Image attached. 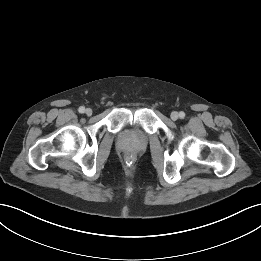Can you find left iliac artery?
<instances>
[{
    "label": "left iliac artery",
    "mask_w": 261,
    "mask_h": 261,
    "mask_svg": "<svg viewBox=\"0 0 261 261\" xmlns=\"http://www.w3.org/2000/svg\"><path fill=\"white\" fill-rule=\"evenodd\" d=\"M179 117H180L181 119H183V118L185 117V113H184L183 111H181V112L179 113Z\"/></svg>",
    "instance_id": "obj_1"
}]
</instances>
